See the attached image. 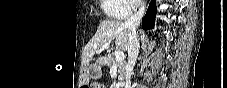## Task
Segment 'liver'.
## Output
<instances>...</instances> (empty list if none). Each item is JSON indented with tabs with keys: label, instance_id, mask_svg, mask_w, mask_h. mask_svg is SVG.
<instances>
[{
	"label": "liver",
	"instance_id": "6515ba94",
	"mask_svg": "<svg viewBox=\"0 0 227 88\" xmlns=\"http://www.w3.org/2000/svg\"><path fill=\"white\" fill-rule=\"evenodd\" d=\"M115 40L117 49L126 51L129 41V30L122 21L105 20L100 23L95 35L86 45L83 53L84 63L92 60L94 54L100 51L103 46Z\"/></svg>",
	"mask_w": 227,
	"mask_h": 88
}]
</instances>
